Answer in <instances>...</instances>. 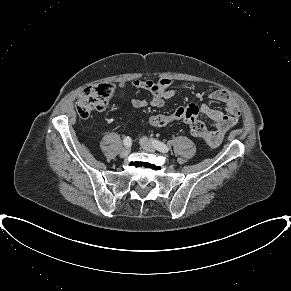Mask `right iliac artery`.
Listing matches in <instances>:
<instances>
[{
  "mask_svg": "<svg viewBox=\"0 0 291 291\" xmlns=\"http://www.w3.org/2000/svg\"><path fill=\"white\" fill-rule=\"evenodd\" d=\"M123 143L126 147H130L131 144H132V140L129 136L125 137L124 140H123Z\"/></svg>",
  "mask_w": 291,
  "mask_h": 291,
  "instance_id": "obj_1",
  "label": "right iliac artery"
}]
</instances>
